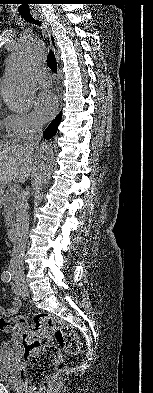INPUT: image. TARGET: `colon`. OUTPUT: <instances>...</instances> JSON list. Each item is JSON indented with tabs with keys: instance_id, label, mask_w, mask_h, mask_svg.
I'll use <instances>...</instances> for the list:
<instances>
[{
	"instance_id": "obj_1",
	"label": "colon",
	"mask_w": 153,
	"mask_h": 393,
	"mask_svg": "<svg viewBox=\"0 0 153 393\" xmlns=\"http://www.w3.org/2000/svg\"><path fill=\"white\" fill-rule=\"evenodd\" d=\"M10 330L21 331L24 364L20 376L34 393H42L63 367L61 350L49 343L52 336L61 349L72 357H77L82 349L74 329L47 313L37 314L32 323L25 316L0 317V331Z\"/></svg>"
}]
</instances>
